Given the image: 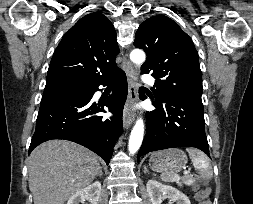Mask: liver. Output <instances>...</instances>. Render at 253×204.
I'll return each mask as SVG.
<instances>
[{
	"instance_id": "6515ba94",
	"label": "liver",
	"mask_w": 253,
	"mask_h": 204,
	"mask_svg": "<svg viewBox=\"0 0 253 204\" xmlns=\"http://www.w3.org/2000/svg\"><path fill=\"white\" fill-rule=\"evenodd\" d=\"M100 170L97 155L66 140H50L29 156V189L34 204H64L90 185Z\"/></svg>"
}]
</instances>
